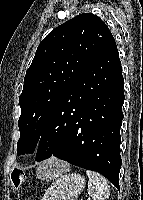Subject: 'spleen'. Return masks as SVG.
Segmentation results:
<instances>
[{
  "mask_svg": "<svg viewBox=\"0 0 143 200\" xmlns=\"http://www.w3.org/2000/svg\"><path fill=\"white\" fill-rule=\"evenodd\" d=\"M86 175L88 181V194L93 200H106L110 195V186L105 177L99 173L87 170Z\"/></svg>",
  "mask_w": 143,
  "mask_h": 200,
  "instance_id": "spleen-1",
  "label": "spleen"
}]
</instances>
